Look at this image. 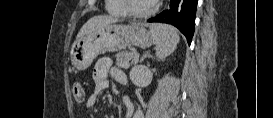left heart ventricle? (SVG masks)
<instances>
[{
	"mask_svg": "<svg viewBox=\"0 0 273 118\" xmlns=\"http://www.w3.org/2000/svg\"><path fill=\"white\" fill-rule=\"evenodd\" d=\"M152 3L151 0H131L132 9L138 12L148 10Z\"/></svg>",
	"mask_w": 273,
	"mask_h": 118,
	"instance_id": "left-heart-ventricle-1",
	"label": "left heart ventricle"
}]
</instances>
